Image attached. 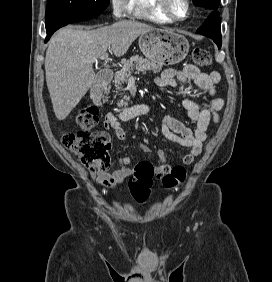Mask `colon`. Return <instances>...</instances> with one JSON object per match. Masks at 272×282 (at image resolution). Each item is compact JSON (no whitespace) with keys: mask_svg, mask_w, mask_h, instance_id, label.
I'll list each match as a JSON object with an SVG mask.
<instances>
[{"mask_svg":"<svg viewBox=\"0 0 272 282\" xmlns=\"http://www.w3.org/2000/svg\"><path fill=\"white\" fill-rule=\"evenodd\" d=\"M192 58L197 66L205 67L211 63L209 53L199 47L194 48ZM98 121V110L95 106L88 105L81 108L74 117V122L79 126V130L63 133L61 142L66 149L80 159L85 167L106 172L110 166L111 143L106 132H92ZM150 172V164L141 162L135 166L134 172L129 178L130 192L138 203H144L150 196ZM185 176L186 170L184 167L176 166L172 168L163 177L164 188L174 190L184 182Z\"/></svg>","mask_w":272,"mask_h":282,"instance_id":"obj_1","label":"colon"}]
</instances>
